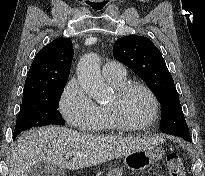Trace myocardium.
I'll return each mask as SVG.
<instances>
[{
  "instance_id": "f54148a6",
  "label": "myocardium",
  "mask_w": 205,
  "mask_h": 176,
  "mask_svg": "<svg viewBox=\"0 0 205 176\" xmlns=\"http://www.w3.org/2000/svg\"><path fill=\"white\" fill-rule=\"evenodd\" d=\"M135 90H141L145 92L152 103V114L150 118L147 121L138 124L128 122L124 118L120 108L121 100ZM108 109L118 130L134 131L153 126L159 118L160 105L156 94L147 85L140 82H130L125 83V85L116 90L115 102L111 105H108Z\"/></svg>"
}]
</instances>
